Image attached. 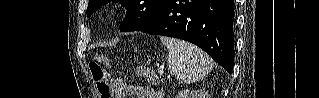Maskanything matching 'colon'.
I'll return each mask as SVG.
<instances>
[{
	"instance_id": "1",
	"label": "colon",
	"mask_w": 319,
	"mask_h": 98,
	"mask_svg": "<svg viewBox=\"0 0 319 98\" xmlns=\"http://www.w3.org/2000/svg\"><path fill=\"white\" fill-rule=\"evenodd\" d=\"M107 64V60L101 57V63H91L89 65V72L92 79L95 81L97 89L101 98H111L112 92L109 83L106 78L105 70L103 65ZM137 74L140 77H145L151 84H156L158 82V76L156 72L148 67L141 66L137 70Z\"/></svg>"
}]
</instances>
